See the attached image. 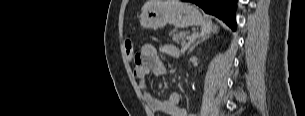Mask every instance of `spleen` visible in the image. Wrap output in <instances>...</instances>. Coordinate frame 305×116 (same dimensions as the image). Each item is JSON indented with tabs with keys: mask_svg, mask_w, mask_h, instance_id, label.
Returning a JSON list of instances; mask_svg holds the SVG:
<instances>
[{
	"mask_svg": "<svg viewBox=\"0 0 305 116\" xmlns=\"http://www.w3.org/2000/svg\"><path fill=\"white\" fill-rule=\"evenodd\" d=\"M218 31V27L216 25L213 26V32H217Z\"/></svg>",
	"mask_w": 305,
	"mask_h": 116,
	"instance_id": "3e777b00",
	"label": "spleen"
}]
</instances>
